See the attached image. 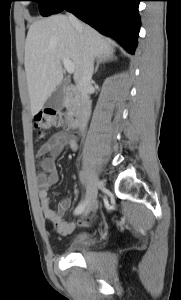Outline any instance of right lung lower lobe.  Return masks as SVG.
<instances>
[{"label":"right lung lower lobe","instance_id":"1","mask_svg":"<svg viewBox=\"0 0 181 300\" xmlns=\"http://www.w3.org/2000/svg\"><path fill=\"white\" fill-rule=\"evenodd\" d=\"M140 1L67 0L56 13L64 10L72 12L102 34L116 39L129 53L134 54L140 28Z\"/></svg>","mask_w":181,"mask_h":300}]
</instances>
